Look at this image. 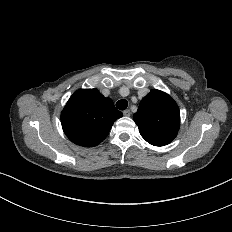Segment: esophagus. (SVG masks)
<instances>
[{"mask_svg": "<svg viewBox=\"0 0 232 232\" xmlns=\"http://www.w3.org/2000/svg\"><path fill=\"white\" fill-rule=\"evenodd\" d=\"M123 115L126 116V117H129L130 116V110H124Z\"/></svg>", "mask_w": 232, "mask_h": 232, "instance_id": "esophagus-1", "label": "esophagus"}]
</instances>
